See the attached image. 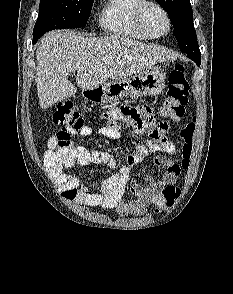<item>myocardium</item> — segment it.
<instances>
[{
  "instance_id": "f54148a6",
  "label": "myocardium",
  "mask_w": 233,
  "mask_h": 294,
  "mask_svg": "<svg viewBox=\"0 0 233 294\" xmlns=\"http://www.w3.org/2000/svg\"><path fill=\"white\" fill-rule=\"evenodd\" d=\"M149 8H155L159 10L165 17L167 22V30L162 34H154L146 25L145 14ZM135 20L138 27L151 38H162L167 36L172 30V19L169 12L160 3L153 0H142V3L137 7L135 12Z\"/></svg>"
}]
</instances>
